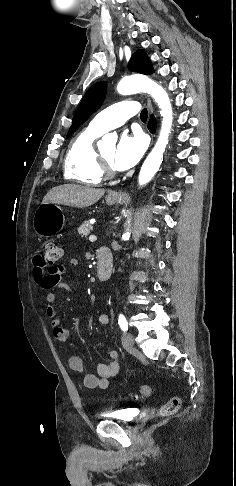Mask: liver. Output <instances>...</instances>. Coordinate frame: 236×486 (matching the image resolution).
Returning <instances> with one entry per match:
<instances>
[{"label":"liver","instance_id":"6515ba94","mask_svg":"<svg viewBox=\"0 0 236 486\" xmlns=\"http://www.w3.org/2000/svg\"><path fill=\"white\" fill-rule=\"evenodd\" d=\"M105 193L104 189H95L82 185L66 184L52 188L43 198V203L62 204L84 208L96 203Z\"/></svg>","mask_w":236,"mask_h":486}]
</instances>
